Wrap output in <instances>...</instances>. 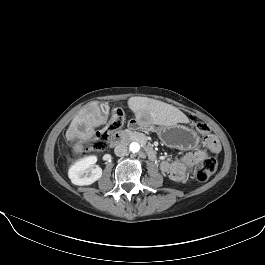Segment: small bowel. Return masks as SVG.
<instances>
[{"label":"small bowel","mask_w":265,"mask_h":265,"mask_svg":"<svg viewBox=\"0 0 265 265\" xmlns=\"http://www.w3.org/2000/svg\"><path fill=\"white\" fill-rule=\"evenodd\" d=\"M207 151L211 153H219L221 146L219 141L213 135H209L204 139ZM206 152L203 150L191 151L185 153L182 157L175 161H163L160 165L161 171L175 182L183 181L192 171V169L203 160Z\"/></svg>","instance_id":"c3829d8e"}]
</instances>
